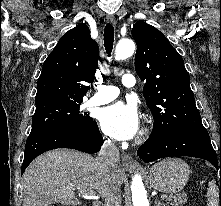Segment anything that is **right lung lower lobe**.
<instances>
[{"label": "right lung lower lobe", "mask_w": 221, "mask_h": 206, "mask_svg": "<svg viewBox=\"0 0 221 206\" xmlns=\"http://www.w3.org/2000/svg\"><path fill=\"white\" fill-rule=\"evenodd\" d=\"M103 143L97 123L85 128L49 129L30 133L25 145L21 174L38 155L56 148H71L83 152H98Z\"/></svg>", "instance_id": "1"}]
</instances>
